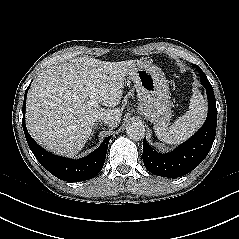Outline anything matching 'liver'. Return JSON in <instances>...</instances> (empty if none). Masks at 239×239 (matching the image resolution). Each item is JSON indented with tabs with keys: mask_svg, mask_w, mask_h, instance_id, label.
Masks as SVG:
<instances>
[{
	"mask_svg": "<svg viewBox=\"0 0 239 239\" xmlns=\"http://www.w3.org/2000/svg\"><path fill=\"white\" fill-rule=\"evenodd\" d=\"M136 61L107 62L79 57L41 72L27 96L26 124L33 139L45 149L73 157L90 138L95 119L111 118L115 128L121 111L114 109L123 95L124 80ZM94 87L101 109L89 102Z\"/></svg>",
	"mask_w": 239,
	"mask_h": 239,
	"instance_id": "6515ba94",
	"label": "liver"
}]
</instances>
